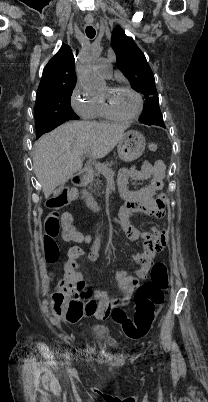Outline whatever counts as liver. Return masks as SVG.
Masks as SVG:
<instances>
[{
  "mask_svg": "<svg viewBox=\"0 0 208 402\" xmlns=\"http://www.w3.org/2000/svg\"><path fill=\"white\" fill-rule=\"evenodd\" d=\"M126 124L67 122L34 144L33 166L45 198L81 170L80 156L90 152L98 160L107 156L123 138Z\"/></svg>",
  "mask_w": 208,
  "mask_h": 402,
  "instance_id": "1",
  "label": "liver"
}]
</instances>
